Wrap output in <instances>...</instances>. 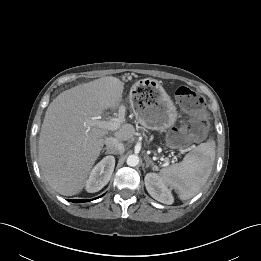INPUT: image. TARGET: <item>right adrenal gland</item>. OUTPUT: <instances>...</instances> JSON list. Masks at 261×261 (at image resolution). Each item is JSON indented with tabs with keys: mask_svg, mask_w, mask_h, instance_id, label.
Listing matches in <instances>:
<instances>
[{
	"mask_svg": "<svg viewBox=\"0 0 261 261\" xmlns=\"http://www.w3.org/2000/svg\"><path fill=\"white\" fill-rule=\"evenodd\" d=\"M105 149H106V148L103 149V152H104ZM105 154H111V152H110L109 150H106V151H105Z\"/></svg>",
	"mask_w": 261,
	"mask_h": 261,
	"instance_id": "right-adrenal-gland-1",
	"label": "right adrenal gland"
}]
</instances>
